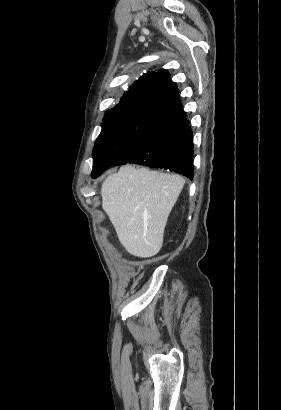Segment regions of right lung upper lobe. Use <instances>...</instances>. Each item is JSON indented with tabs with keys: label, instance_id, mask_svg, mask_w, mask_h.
<instances>
[{
	"label": "right lung upper lobe",
	"instance_id": "right-lung-upper-lobe-1",
	"mask_svg": "<svg viewBox=\"0 0 281 410\" xmlns=\"http://www.w3.org/2000/svg\"><path fill=\"white\" fill-rule=\"evenodd\" d=\"M126 104H144L169 111L179 104L177 86L165 69L148 72L133 82L116 106Z\"/></svg>",
	"mask_w": 281,
	"mask_h": 410
}]
</instances>
